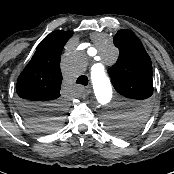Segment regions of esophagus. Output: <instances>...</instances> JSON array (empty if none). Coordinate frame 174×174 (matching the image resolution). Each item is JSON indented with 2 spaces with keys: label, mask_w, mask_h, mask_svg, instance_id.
<instances>
[{
  "label": "esophagus",
  "mask_w": 174,
  "mask_h": 174,
  "mask_svg": "<svg viewBox=\"0 0 174 174\" xmlns=\"http://www.w3.org/2000/svg\"><path fill=\"white\" fill-rule=\"evenodd\" d=\"M90 93H91V89L90 88L83 89V94L84 95H89Z\"/></svg>",
  "instance_id": "1"
}]
</instances>
